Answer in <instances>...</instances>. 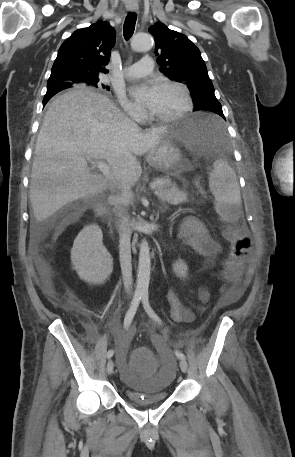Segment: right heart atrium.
<instances>
[{
  "label": "right heart atrium",
  "instance_id": "d8ad5b80",
  "mask_svg": "<svg viewBox=\"0 0 295 457\" xmlns=\"http://www.w3.org/2000/svg\"><path fill=\"white\" fill-rule=\"evenodd\" d=\"M117 97H118V100L122 106V108L124 109V111L133 119L137 120V121H140L143 119L144 117V111L143 109L131 102L127 97L126 95L124 94V92L122 91H118L117 92Z\"/></svg>",
  "mask_w": 295,
  "mask_h": 457
}]
</instances>
